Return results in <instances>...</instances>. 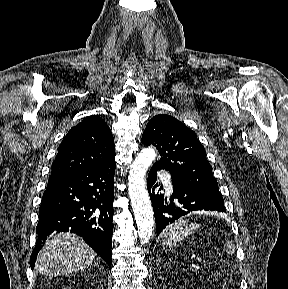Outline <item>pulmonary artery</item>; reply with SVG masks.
Segmentation results:
<instances>
[{"instance_id": "1", "label": "pulmonary artery", "mask_w": 288, "mask_h": 289, "mask_svg": "<svg viewBox=\"0 0 288 289\" xmlns=\"http://www.w3.org/2000/svg\"><path fill=\"white\" fill-rule=\"evenodd\" d=\"M159 176L162 179V181L164 182L166 190L171 192L173 187H172L170 175L166 172H160Z\"/></svg>"}]
</instances>
